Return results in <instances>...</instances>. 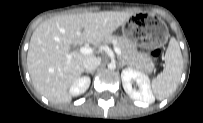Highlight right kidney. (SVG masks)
I'll return each mask as SVG.
<instances>
[{
  "instance_id": "1",
  "label": "right kidney",
  "mask_w": 203,
  "mask_h": 123,
  "mask_svg": "<svg viewBox=\"0 0 203 123\" xmlns=\"http://www.w3.org/2000/svg\"><path fill=\"white\" fill-rule=\"evenodd\" d=\"M90 78L87 76L81 77L76 80L70 87L69 93L72 96H78L83 94L90 86Z\"/></svg>"
}]
</instances>
